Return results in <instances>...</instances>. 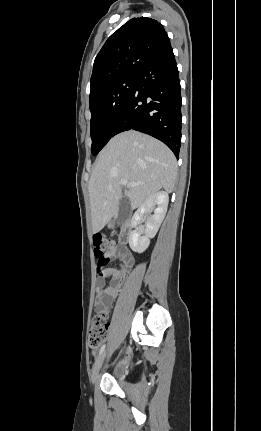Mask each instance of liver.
Masks as SVG:
<instances>
[{"mask_svg": "<svg viewBox=\"0 0 261 431\" xmlns=\"http://www.w3.org/2000/svg\"><path fill=\"white\" fill-rule=\"evenodd\" d=\"M141 183L124 191L132 208L164 189L173 192L177 161L161 141L138 131L114 136L102 149L88 185L94 233L115 216L122 198L120 181Z\"/></svg>", "mask_w": 261, "mask_h": 431, "instance_id": "6515ba94", "label": "liver"}]
</instances>
